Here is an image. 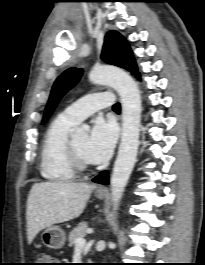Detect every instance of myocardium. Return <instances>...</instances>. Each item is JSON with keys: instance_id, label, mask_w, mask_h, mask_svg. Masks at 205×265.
I'll return each mask as SVG.
<instances>
[{"instance_id": "f54148a6", "label": "myocardium", "mask_w": 205, "mask_h": 265, "mask_svg": "<svg viewBox=\"0 0 205 265\" xmlns=\"http://www.w3.org/2000/svg\"><path fill=\"white\" fill-rule=\"evenodd\" d=\"M68 152L70 163L74 170L84 172L90 168L89 162L84 160L76 150L73 139H69Z\"/></svg>"}]
</instances>
